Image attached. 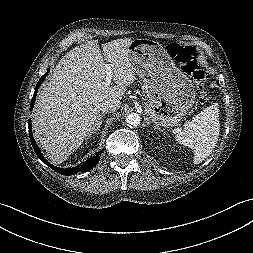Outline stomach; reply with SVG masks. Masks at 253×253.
Listing matches in <instances>:
<instances>
[{
  "label": "stomach",
  "mask_w": 253,
  "mask_h": 253,
  "mask_svg": "<svg viewBox=\"0 0 253 253\" xmlns=\"http://www.w3.org/2000/svg\"><path fill=\"white\" fill-rule=\"evenodd\" d=\"M128 51L132 66L144 80L148 98L145 110L153 123L165 128L176 126L195 102L191 80L159 42L134 39Z\"/></svg>",
  "instance_id": "stomach-1"
}]
</instances>
